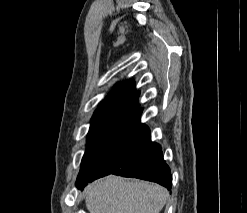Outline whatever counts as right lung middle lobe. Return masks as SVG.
<instances>
[{
	"label": "right lung middle lobe",
	"instance_id": "1",
	"mask_svg": "<svg viewBox=\"0 0 247 213\" xmlns=\"http://www.w3.org/2000/svg\"><path fill=\"white\" fill-rule=\"evenodd\" d=\"M132 109H119L104 113L91 120L87 136V149L81 162L76 186L80 188L99 173V161L117 141Z\"/></svg>",
	"mask_w": 247,
	"mask_h": 213
}]
</instances>
